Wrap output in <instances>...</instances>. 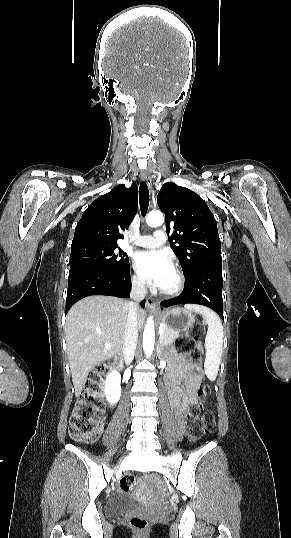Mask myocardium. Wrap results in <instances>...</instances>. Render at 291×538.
Returning <instances> with one entry per match:
<instances>
[{"instance_id":"obj_1","label":"myocardium","mask_w":291,"mask_h":538,"mask_svg":"<svg viewBox=\"0 0 291 538\" xmlns=\"http://www.w3.org/2000/svg\"><path fill=\"white\" fill-rule=\"evenodd\" d=\"M173 272L176 276V283L171 288H160V293L167 297H173L179 295L185 287L184 274L176 267H173Z\"/></svg>"}]
</instances>
